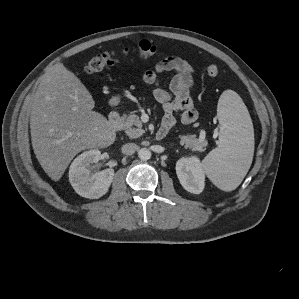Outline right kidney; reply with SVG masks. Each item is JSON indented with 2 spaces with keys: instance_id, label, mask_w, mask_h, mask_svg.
Listing matches in <instances>:
<instances>
[{
  "instance_id": "ca27d5eb",
  "label": "right kidney",
  "mask_w": 299,
  "mask_h": 299,
  "mask_svg": "<svg viewBox=\"0 0 299 299\" xmlns=\"http://www.w3.org/2000/svg\"><path fill=\"white\" fill-rule=\"evenodd\" d=\"M101 152L96 149L85 151L77 156L69 169V181L82 197L97 199L103 196L109 189L113 177V169L94 171L93 163H98Z\"/></svg>"
}]
</instances>
